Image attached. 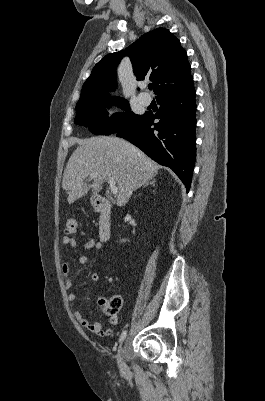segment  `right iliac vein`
<instances>
[{
    "label": "right iliac vein",
    "instance_id": "right-iliac-vein-1",
    "mask_svg": "<svg viewBox=\"0 0 265 401\" xmlns=\"http://www.w3.org/2000/svg\"><path fill=\"white\" fill-rule=\"evenodd\" d=\"M117 363H118V367H119L120 371L126 372L128 370V365L126 363V358H125V355L123 353V346L122 345L118 349Z\"/></svg>",
    "mask_w": 265,
    "mask_h": 401
}]
</instances>
